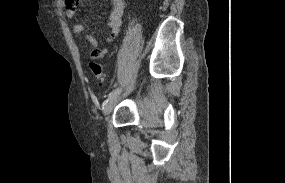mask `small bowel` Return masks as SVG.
I'll return each mask as SVG.
<instances>
[{
  "label": "small bowel",
  "instance_id": "c3829d8e",
  "mask_svg": "<svg viewBox=\"0 0 285 183\" xmlns=\"http://www.w3.org/2000/svg\"><path fill=\"white\" fill-rule=\"evenodd\" d=\"M112 10L109 15L108 27L109 34L106 38L107 43L114 42L121 29L122 25V17L124 14L125 1L124 0H111ZM66 17L68 19H74L76 17L75 12V2L72 3V6L69 7L66 4ZM72 31L75 36L82 38L86 44L90 46L88 50H86L85 54L90 61H96L103 58L107 53L108 49L106 47L99 48L96 39L91 35H83L84 25L81 23H74L72 25Z\"/></svg>",
  "mask_w": 285,
  "mask_h": 183
}]
</instances>
